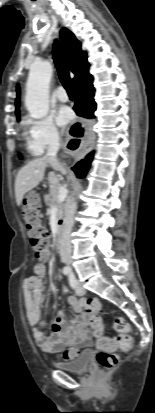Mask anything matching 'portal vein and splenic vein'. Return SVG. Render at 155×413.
Returning <instances> with one entry per match:
<instances>
[{
  "instance_id": "obj_1",
  "label": "portal vein and splenic vein",
  "mask_w": 155,
  "mask_h": 413,
  "mask_svg": "<svg viewBox=\"0 0 155 413\" xmlns=\"http://www.w3.org/2000/svg\"><path fill=\"white\" fill-rule=\"evenodd\" d=\"M68 195V190L65 187H60L58 191V201H63Z\"/></svg>"
}]
</instances>
